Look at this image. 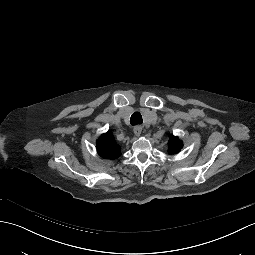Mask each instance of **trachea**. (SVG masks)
<instances>
[{
	"label": "trachea",
	"instance_id": "3493384b",
	"mask_svg": "<svg viewBox=\"0 0 255 255\" xmlns=\"http://www.w3.org/2000/svg\"><path fill=\"white\" fill-rule=\"evenodd\" d=\"M130 123L132 126L142 124V116L139 112H134L131 115Z\"/></svg>",
	"mask_w": 255,
	"mask_h": 255
}]
</instances>
